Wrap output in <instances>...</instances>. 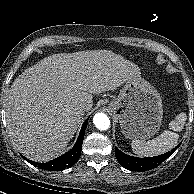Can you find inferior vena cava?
<instances>
[{
  "instance_id": "602c4592",
  "label": "inferior vena cava",
  "mask_w": 194,
  "mask_h": 194,
  "mask_svg": "<svg viewBox=\"0 0 194 194\" xmlns=\"http://www.w3.org/2000/svg\"><path fill=\"white\" fill-rule=\"evenodd\" d=\"M78 110H79L80 112H84V111H85V106H84V105H79V106H78Z\"/></svg>"
}]
</instances>
